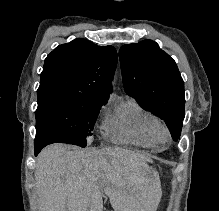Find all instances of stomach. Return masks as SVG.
Returning a JSON list of instances; mask_svg holds the SVG:
<instances>
[{"mask_svg":"<svg viewBox=\"0 0 219 211\" xmlns=\"http://www.w3.org/2000/svg\"><path fill=\"white\" fill-rule=\"evenodd\" d=\"M155 172L154 168L152 166H147V175L148 174H153Z\"/></svg>","mask_w":219,"mask_h":211,"instance_id":"0dacf381","label":"stomach"}]
</instances>
